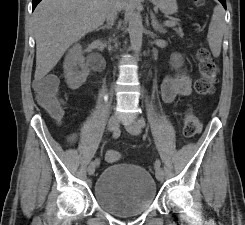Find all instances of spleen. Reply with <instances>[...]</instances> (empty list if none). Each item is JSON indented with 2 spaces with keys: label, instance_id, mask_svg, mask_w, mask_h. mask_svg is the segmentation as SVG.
Segmentation results:
<instances>
[{
  "label": "spleen",
  "instance_id": "obj_1",
  "mask_svg": "<svg viewBox=\"0 0 245 225\" xmlns=\"http://www.w3.org/2000/svg\"><path fill=\"white\" fill-rule=\"evenodd\" d=\"M225 29L224 10L218 5L214 8L212 20L209 25L207 41L213 56L218 57L221 52V43Z\"/></svg>",
  "mask_w": 245,
  "mask_h": 225
}]
</instances>
